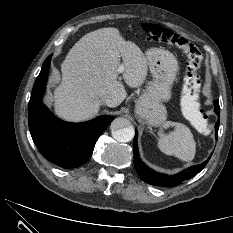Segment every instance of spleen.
<instances>
[{
    "instance_id": "spleen-1",
    "label": "spleen",
    "mask_w": 233,
    "mask_h": 233,
    "mask_svg": "<svg viewBox=\"0 0 233 233\" xmlns=\"http://www.w3.org/2000/svg\"><path fill=\"white\" fill-rule=\"evenodd\" d=\"M198 104L193 103V114L191 120L198 122L200 115L198 114ZM169 127H174V130L165 134L163 131ZM163 128L158 132L159 149L166 155H173L182 161H192L196 152V143L190 129L176 122L167 121Z\"/></svg>"
}]
</instances>
